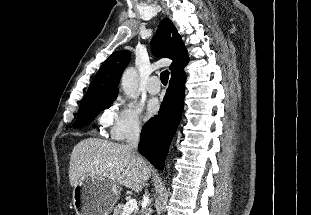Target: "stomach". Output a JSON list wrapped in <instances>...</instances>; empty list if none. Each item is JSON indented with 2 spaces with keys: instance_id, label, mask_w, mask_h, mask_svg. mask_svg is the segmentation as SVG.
Listing matches in <instances>:
<instances>
[{
  "instance_id": "0dacf381",
  "label": "stomach",
  "mask_w": 311,
  "mask_h": 215,
  "mask_svg": "<svg viewBox=\"0 0 311 215\" xmlns=\"http://www.w3.org/2000/svg\"><path fill=\"white\" fill-rule=\"evenodd\" d=\"M120 191L112 181L87 175L74 186L73 205L78 215H109Z\"/></svg>"
}]
</instances>
